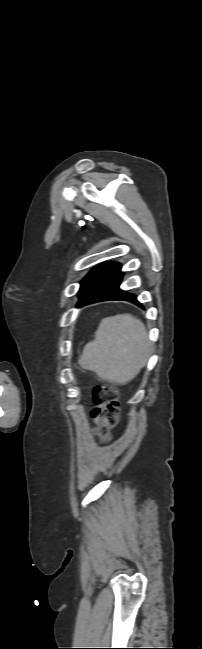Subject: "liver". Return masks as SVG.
I'll return each instance as SVG.
<instances>
[{"instance_id":"liver-1","label":"liver","mask_w":202,"mask_h":649,"mask_svg":"<svg viewBox=\"0 0 202 649\" xmlns=\"http://www.w3.org/2000/svg\"><path fill=\"white\" fill-rule=\"evenodd\" d=\"M151 351L146 328L130 314L104 318L78 363L103 380L125 385L140 372Z\"/></svg>"}]
</instances>
